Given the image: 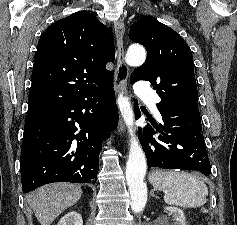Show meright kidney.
<instances>
[{"label":"right kidney","mask_w":237,"mask_h":225,"mask_svg":"<svg viewBox=\"0 0 237 225\" xmlns=\"http://www.w3.org/2000/svg\"><path fill=\"white\" fill-rule=\"evenodd\" d=\"M57 225H83L82 216L76 211L68 212Z\"/></svg>","instance_id":"ca27d5eb"}]
</instances>
